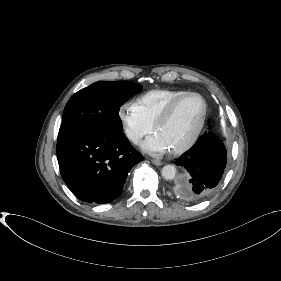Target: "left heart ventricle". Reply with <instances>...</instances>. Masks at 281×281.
<instances>
[{"mask_svg":"<svg viewBox=\"0 0 281 281\" xmlns=\"http://www.w3.org/2000/svg\"><path fill=\"white\" fill-rule=\"evenodd\" d=\"M203 111L198 97H188L178 104L170 118L163 123L156 134L169 150L186 143L197 129Z\"/></svg>","mask_w":281,"mask_h":281,"instance_id":"obj_1","label":"left heart ventricle"}]
</instances>
